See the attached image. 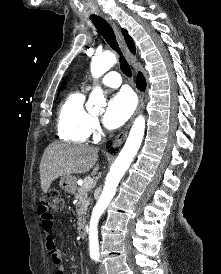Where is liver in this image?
Wrapping results in <instances>:
<instances>
[{"label": "liver", "mask_w": 221, "mask_h": 274, "mask_svg": "<svg viewBox=\"0 0 221 274\" xmlns=\"http://www.w3.org/2000/svg\"><path fill=\"white\" fill-rule=\"evenodd\" d=\"M98 149L83 145L51 143L43 153L40 162L41 189L47 193L52 182L59 177L88 172L96 164ZM99 170L97 165L92 175Z\"/></svg>", "instance_id": "obj_1"}]
</instances>
